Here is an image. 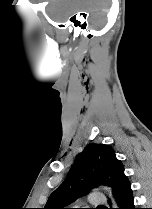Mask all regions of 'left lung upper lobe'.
<instances>
[{
    "instance_id": "left-lung-upper-lobe-1",
    "label": "left lung upper lobe",
    "mask_w": 152,
    "mask_h": 209,
    "mask_svg": "<svg viewBox=\"0 0 152 209\" xmlns=\"http://www.w3.org/2000/svg\"><path fill=\"white\" fill-rule=\"evenodd\" d=\"M128 178L113 148L90 144L81 152L64 182L50 195L43 209L65 207L100 184L110 186L115 195Z\"/></svg>"
}]
</instances>
